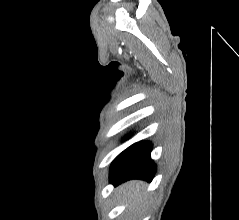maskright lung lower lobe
Wrapping results in <instances>:
<instances>
[{"mask_svg":"<svg viewBox=\"0 0 239 220\" xmlns=\"http://www.w3.org/2000/svg\"><path fill=\"white\" fill-rule=\"evenodd\" d=\"M150 142H137L120 153L111 165L110 181L119 184L130 179L151 181L156 170Z\"/></svg>","mask_w":239,"mask_h":220,"instance_id":"1","label":"right lung lower lobe"}]
</instances>
